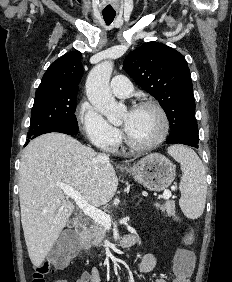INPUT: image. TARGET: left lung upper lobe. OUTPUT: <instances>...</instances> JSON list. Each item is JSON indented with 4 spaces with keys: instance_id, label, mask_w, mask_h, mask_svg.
I'll return each instance as SVG.
<instances>
[{
    "instance_id": "5c2ea615",
    "label": "left lung upper lobe",
    "mask_w": 232,
    "mask_h": 282,
    "mask_svg": "<svg viewBox=\"0 0 232 282\" xmlns=\"http://www.w3.org/2000/svg\"><path fill=\"white\" fill-rule=\"evenodd\" d=\"M124 69L164 109L171 130L199 138L190 70L183 55L165 44L148 42L129 53Z\"/></svg>"
}]
</instances>
